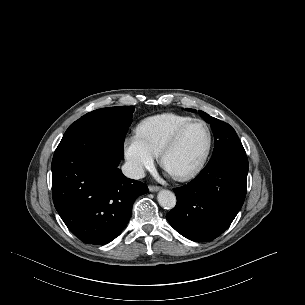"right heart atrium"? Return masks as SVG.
<instances>
[{
	"label": "right heart atrium",
	"instance_id": "1",
	"mask_svg": "<svg viewBox=\"0 0 305 305\" xmlns=\"http://www.w3.org/2000/svg\"><path fill=\"white\" fill-rule=\"evenodd\" d=\"M124 155L130 172L136 177L142 176L145 170L151 169L155 163V156L137 135L125 140Z\"/></svg>",
	"mask_w": 305,
	"mask_h": 305
}]
</instances>
